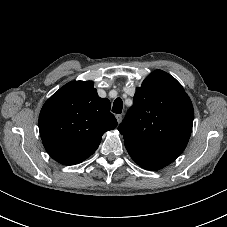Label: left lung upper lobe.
<instances>
[{"mask_svg": "<svg viewBox=\"0 0 227 227\" xmlns=\"http://www.w3.org/2000/svg\"><path fill=\"white\" fill-rule=\"evenodd\" d=\"M194 111L189 96L168 73L155 70L136 89L118 130L131 158L159 170L179 157L189 141Z\"/></svg>", "mask_w": 227, "mask_h": 227, "instance_id": "left-lung-upper-lobe-1", "label": "left lung upper lobe"}]
</instances>
